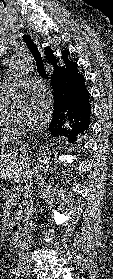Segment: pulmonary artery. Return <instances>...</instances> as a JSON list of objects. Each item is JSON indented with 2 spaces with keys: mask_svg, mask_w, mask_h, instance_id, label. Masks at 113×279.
<instances>
[{
  "mask_svg": "<svg viewBox=\"0 0 113 279\" xmlns=\"http://www.w3.org/2000/svg\"><path fill=\"white\" fill-rule=\"evenodd\" d=\"M15 86L20 88L30 89L36 92H42L45 90L44 84L42 81L36 78H24L21 79L19 83H13L11 81H6L1 85V90L5 93L11 91Z\"/></svg>",
  "mask_w": 113,
  "mask_h": 279,
  "instance_id": "obj_1",
  "label": "pulmonary artery"
}]
</instances>
